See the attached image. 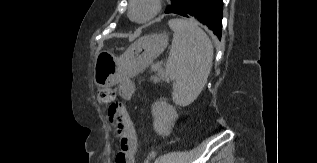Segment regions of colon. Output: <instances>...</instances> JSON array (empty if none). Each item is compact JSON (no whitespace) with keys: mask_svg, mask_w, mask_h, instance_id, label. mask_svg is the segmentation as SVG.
<instances>
[{"mask_svg":"<svg viewBox=\"0 0 317 163\" xmlns=\"http://www.w3.org/2000/svg\"><path fill=\"white\" fill-rule=\"evenodd\" d=\"M113 98L114 92L112 89L105 88L97 92V100L99 103H110L109 116L116 132L120 133L125 128L126 117L123 105L118 102H113Z\"/></svg>","mask_w":317,"mask_h":163,"instance_id":"1","label":"colon"}]
</instances>
